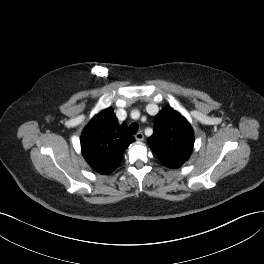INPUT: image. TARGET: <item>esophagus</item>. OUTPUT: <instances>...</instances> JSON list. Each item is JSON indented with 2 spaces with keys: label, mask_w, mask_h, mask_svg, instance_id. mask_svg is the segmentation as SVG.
Returning a JSON list of instances; mask_svg holds the SVG:
<instances>
[{
  "label": "esophagus",
  "mask_w": 264,
  "mask_h": 264,
  "mask_svg": "<svg viewBox=\"0 0 264 264\" xmlns=\"http://www.w3.org/2000/svg\"><path fill=\"white\" fill-rule=\"evenodd\" d=\"M135 139L137 141H143L144 140V135L142 132H138L136 135H135Z\"/></svg>",
  "instance_id": "esophagus-1"
}]
</instances>
